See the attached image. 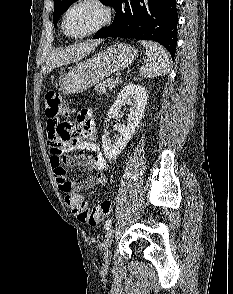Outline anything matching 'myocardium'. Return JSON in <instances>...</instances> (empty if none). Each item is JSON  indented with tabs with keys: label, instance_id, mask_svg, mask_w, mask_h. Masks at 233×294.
<instances>
[{
	"label": "myocardium",
	"instance_id": "myocardium-1",
	"mask_svg": "<svg viewBox=\"0 0 233 294\" xmlns=\"http://www.w3.org/2000/svg\"><path fill=\"white\" fill-rule=\"evenodd\" d=\"M83 4H91V5H94L97 8H99L102 13L101 19L95 27H93L92 29H90L89 31H87L83 34H79V35L70 34L66 30L67 17L74 8H76L80 5H83ZM112 19H113V10L105 1H103V0H75L65 10L63 17H62V21H61V28H62L63 33L67 37L73 38V39H83V38L92 36V35L98 33L99 31H101L103 28H105L107 25L110 24Z\"/></svg>",
	"mask_w": 233,
	"mask_h": 294
}]
</instances>
